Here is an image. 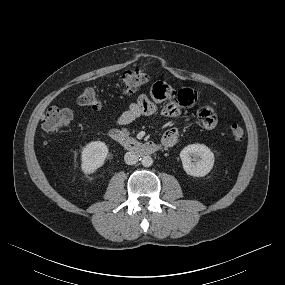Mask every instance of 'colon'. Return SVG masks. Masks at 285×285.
<instances>
[{
  "mask_svg": "<svg viewBox=\"0 0 285 285\" xmlns=\"http://www.w3.org/2000/svg\"><path fill=\"white\" fill-rule=\"evenodd\" d=\"M148 80L149 79L147 74L141 70L135 69V70L126 71L121 76L120 79L122 92L124 94H131L136 90L140 89L142 86H144L148 82ZM77 101L80 105L95 110L101 108V100L99 93L93 87H87L86 89H84V91L79 95ZM72 120H73V113L70 109L51 107L47 110L41 125L42 129L45 132L54 134L58 133L63 128L69 126ZM229 132L230 136L236 141L242 140L245 135L244 128L238 124H233L230 127Z\"/></svg>",
  "mask_w": 285,
  "mask_h": 285,
  "instance_id": "colon-1",
  "label": "colon"
}]
</instances>
